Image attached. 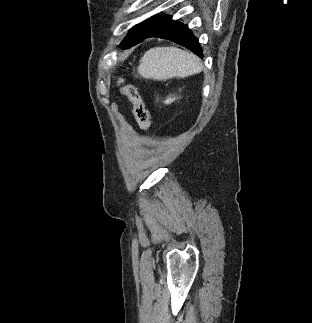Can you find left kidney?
Masks as SVG:
<instances>
[{"label":"left kidney","instance_id":"left-kidney-1","mask_svg":"<svg viewBox=\"0 0 312 323\" xmlns=\"http://www.w3.org/2000/svg\"><path fill=\"white\" fill-rule=\"evenodd\" d=\"M170 102H173L172 98H169V100H166L165 104H170Z\"/></svg>","mask_w":312,"mask_h":323}]
</instances>
